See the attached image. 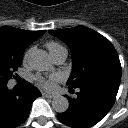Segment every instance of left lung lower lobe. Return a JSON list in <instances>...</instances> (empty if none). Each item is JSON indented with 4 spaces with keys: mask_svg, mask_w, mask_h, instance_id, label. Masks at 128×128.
<instances>
[{
    "mask_svg": "<svg viewBox=\"0 0 128 128\" xmlns=\"http://www.w3.org/2000/svg\"><path fill=\"white\" fill-rule=\"evenodd\" d=\"M120 85L114 77H96L78 87L77 98L69 100V108L57 115L60 122L73 128H89L97 124L111 109ZM70 91H74L69 86Z\"/></svg>",
    "mask_w": 128,
    "mask_h": 128,
    "instance_id": "left-lung-lower-lobe-1",
    "label": "left lung lower lobe"
}]
</instances>
